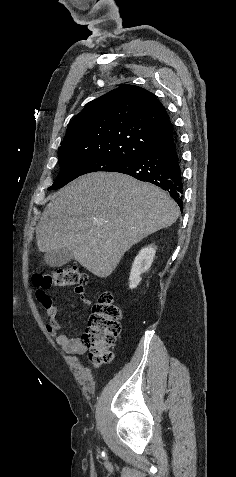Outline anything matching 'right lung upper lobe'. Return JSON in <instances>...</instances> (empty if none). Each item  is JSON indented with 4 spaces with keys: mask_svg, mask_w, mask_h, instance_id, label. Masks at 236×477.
I'll list each match as a JSON object with an SVG mask.
<instances>
[{
    "mask_svg": "<svg viewBox=\"0 0 236 477\" xmlns=\"http://www.w3.org/2000/svg\"><path fill=\"white\" fill-rule=\"evenodd\" d=\"M172 135L167 112L156 96L123 84L89 102L71 120L58 161L84 156L132 160Z\"/></svg>",
    "mask_w": 236,
    "mask_h": 477,
    "instance_id": "right-lung-upper-lobe-1",
    "label": "right lung upper lobe"
}]
</instances>
